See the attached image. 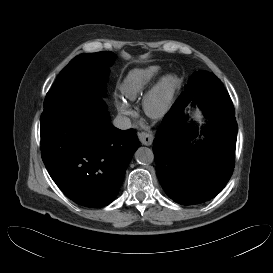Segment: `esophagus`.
I'll use <instances>...</instances> for the list:
<instances>
[{
	"label": "esophagus",
	"instance_id": "obj_1",
	"mask_svg": "<svg viewBox=\"0 0 273 273\" xmlns=\"http://www.w3.org/2000/svg\"><path fill=\"white\" fill-rule=\"evenodd\" d=\"M139 140L143 145L150 146L153 142V135L148 132H140L138 134Z\"/></svg>",
	"mask_w": 273,
	"mask_h": 273
}]
</instances>
